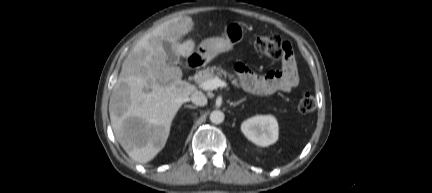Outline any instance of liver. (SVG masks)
<instances>
[{
  "label": "liver",
  "mask_w": 432,
  "mask_h": 193,
  "mask_svg": "<svg viewBox=\"0 0 432 193\" xmlns=\"http://www.w3.org/2000/svg\"><path fill=\"white\" fill-rule=\"evenodd\" d=\"M191 17L178 16L145 35L123 62L109 101L114 135L126 153L138 163L151 161L165 146L172 121L184 102L196 91L181 80L182 71L168 66L163 41L175 54L189 57L192 39L182 42L193 29Z\"/></svg>",
  "instance_id": "liver-1"
}]
</instances>
